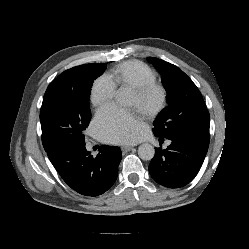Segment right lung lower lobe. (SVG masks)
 I'll return each instance as SVG.
<instances>
[{
    "instance_id": "obj_1",
    "label": "right lung lower lobe",
    "mask_w": 249,
    "mask_h": 249,
    "mask_svg": "<svg viewBox=\"0 0 249 249\" xmlns=\"http://www.w3.org/2000/svg\"><path fill=\"white\" fill-rule=\"evenodd\" d=\"M62 179L76 192L98 196L116 181L118 165L122 158L118 147L102 145L93 157L85 143H69L46 151Z\"/></svg>"
}]
</instances>
